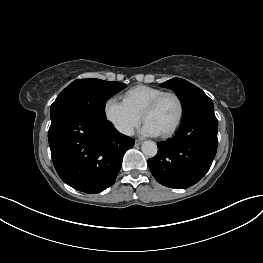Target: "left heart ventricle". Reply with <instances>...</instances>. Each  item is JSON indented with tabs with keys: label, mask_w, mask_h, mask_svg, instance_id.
I'll list each match as a JSON object with an SVG mask.
<instances>
[{
	"label": "left heart ventricle",
	"mask_w": 263,
	"mask_h": 263,
	"mask_svg": "<svg viewBox=\"0 0 263 263\" xmlns=\"http://www.w3.org/2000/svg\"><path fill=\"white\" fill-rule=\"evenodd\" d=\"M179 113L177 100L168 96L145 117V122L152 124L160 134L168 131L175 123Z\"/></svg>",
	"instance_id": "b2bd125f"
}]
</instances>
